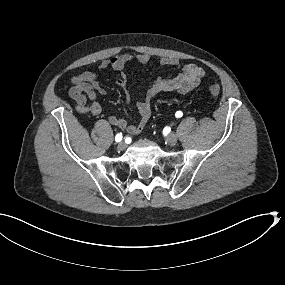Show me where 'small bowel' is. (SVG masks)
<instances>
[{
  "mask_svg": "<svg viewBox=\"0 0 285 285\" xmlns=\"http://www.w3.org/2000/svg\"><path fill=\"white\" fill-rule=\"evenodd\" d=\"M134 60L142 65H146L150 60V56L144 53L137 55L125 53L103 60L99 67L101 69L111 68L115 71H123L127 64ZM160 63L164 66L177 68L179 70L178 74L168 79L158 78L151 83L144 99L136 103L139 114V121L136 124H128L125 119L112 115L109 117L111 125L125 130L131 135L139 134L151 117V103L158 94L162 92L186 94L196 88L205 75L204 70L196 64L187 63L181 66L179 60L173 57H164L160 60ZM71 81L72 87L69 91L71 98L79 105H87L92 114H99L101 107L96 101V96L97 94L104 95L106 90L97 80L96 74L84 71L73 76ZM117 84L125 91L127 103L132 102V96L128 90L125 78L121 77L118 79ZM87 98L91 100V104H87Z\"/></svg>",
  "mask_w": 285,
  "mask_h": 285,
  "instance_id": "obj_1",
  "label": "small bowel"
}]
</instances>
